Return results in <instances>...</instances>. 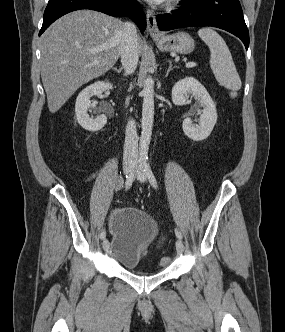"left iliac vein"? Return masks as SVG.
I'll use <instances>...</instances> for the list:
<instances>
[{
	"instance_id": "4c4485c4",
	"label": "left iliac vein",
	"mask_w": 285,
	"mask_h": 332,
	"mask_svg": "<svg viewBox=\"0 0 285 332\" xmlns=\"http://www.w3.org/2000/svg\"><path fill=\"white\" fill-rule=\"evenodd\" d=\"M136 175H137V179H138L140 182H145L146 179H147L146 174H145V172L143 171L142 166H140V167L138 168V170H137V174H136ZM176 250H177V253H178V254H182L183 251H184V244H183V242H182L180 239H178V240L176 241Z\"/></svg>"
}]
</instances>
